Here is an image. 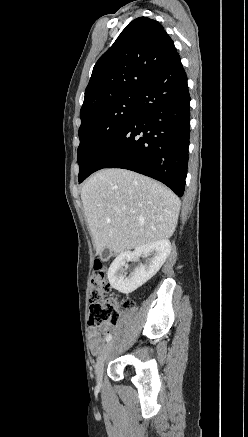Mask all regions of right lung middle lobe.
I'll use <instances>...</instances> for the list:
<instances>
[{"mask_svg": "<svg viewBox=\"0 0 248 437\" xmlns=\"http://www.w3.org/2000/svg\"><path fill=\"white\" fill-rule=\"evenodd\" d=\"M136 96L118 98L81 120L79 128L80 145L77 155L80 167L78 180H81L90 171V167L97 155L131 117Z\"/></svg>", "mask_w": 248, "mask_h": 437, "instance_id": "1", "label": "right lung middle lobe"}]
</instances>
